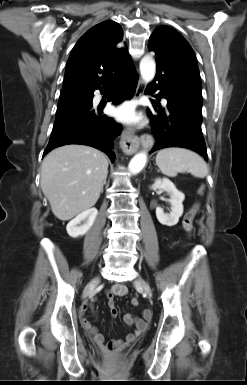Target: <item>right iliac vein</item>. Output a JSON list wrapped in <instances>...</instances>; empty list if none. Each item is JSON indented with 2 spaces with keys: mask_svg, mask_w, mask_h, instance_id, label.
<instances>
[{
  "mask_svg": "<svg viewBox=\"0 0 247 385\" xmlns=\"http://www.w3.org/2000/svg\"><path fill=\"white\" fill-rule=\"evenodd\" d=\"M99 283V278H94L84 289L83 292V299H86L88 295L91 293V291L96 287V285Z\"/></svg>",
  "mask_w": 247,
  "mask_h": 385,
  "instance_id": "right-iliac-vein-1",
  "label": "right iliac vein"
}]
</instances>
